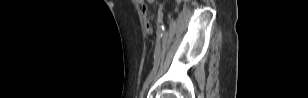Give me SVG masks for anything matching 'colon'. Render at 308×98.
<instances>
[{"instance_id":"1","label":"colon","mask_w":308,"mask_h":98,"mask_svg":"<svg viewBox=\"0 0 308 98\" xmlns=\"http://www.w3.org/2000/svg\"><path fill=\"white\" fill-rule=\"evenodd\" d=\"M141 14H142V18H143L147 33L152 34L153 29L150 23V16L148 14L147 7L143 3H141Z\"/></svg>"}]
</instances>
